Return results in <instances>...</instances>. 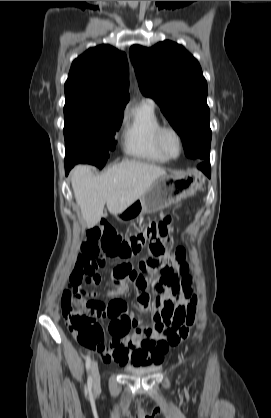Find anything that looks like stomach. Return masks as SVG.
Masks as SVG:
<instances>
[{
	"label": "stomach",
	"instance_id": "obj_1",
	"mask_svg": "<svg viewBox=\"0 0 271 418\" xmlns=\"http://www.w3.org/2000/svg\"><path fill=\"white\" fill-rule=\"evenodd\" d=\"M205 178L197 169L176 175H162L134 203L116 215L120 222H129L144 213L161 211L194 195L202 188Z\"/></svg>",
	"mask_w": 271,
	"mask_h": 418
}]
</instances>
